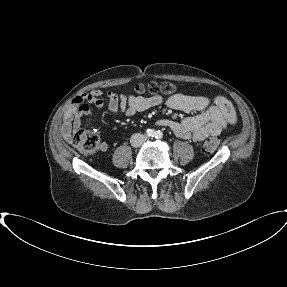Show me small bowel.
<instances>
[{"label": "small bowel", "instance_id": "small-bowel-1", "mask_svg": "<svg viewBox=\"0 0 287 287\" xmlns=\"http://www.w3.org/2000/svg\"><path fill=\"white\" fill-rule=\"evenodd\" d=\"M102 92L95 90L74 97L64 114L60 132L63 138L69 141L81 125L84 116L92 114L91 106L101 107ZM108 109L115 113L123 111L127 116H134L152 107L161 105L164 99L161 96H125L113 92L107 93ZM172 109L183 112H198L196 115L184 118L181 121L161 119L159 125L170 128L173 133L184 140L193 142L203 141L209 136L219 135L228 125L235 124L237 115L232 103L223 96L213 99L204 96L174 95L165 101ZM106 143L101 145V150H107Z\"/></svg>", "mask_w": 287, "mask_h": 287}]
</instances>
